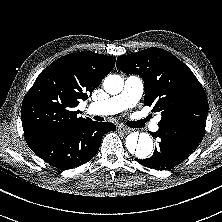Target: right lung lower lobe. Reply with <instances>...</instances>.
<instances>
[{
    "mask_svg": "<svg viewBox=\"0 0 222 222\" xmlns=\"http://www.w3.org/2000/svg\"><path fill=\"white\" fill-rule=\"evenodd\" d=\"M110 122L89 120L66 131H54L26 138L29 147L44 161L67 170L90 161L98 152L102 136L115 131Z\"/></svg>",
    "mask_w": 222,
    "mask_h": 222,
    "instance_id": "obj_1",
    "label": "right lung lower lobe"
}]
</instances>
